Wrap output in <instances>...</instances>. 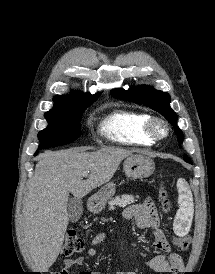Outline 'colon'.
<instances>
[{"label": "colon", "mask_w": 215, "mask_h": 274, "mask_svg": "<svg viewBox=\"0 0 215 274\" xmlns=\"http://www.w3.org/2000/svg\"><path fill=\"white\" fill-rule=\"evenodd\" d=\"M159 197L162 203V209L165 212H168L170 210V201L168 198L167 191L164 187L160 188ZM174 243L178 247L182 249H186L189 245V240L186 237H176L174 239ZM83 247H84V242L82 238L78 235L76 230L71 229L66 234L65 241L61 250L62 256L70 257L73 254L82 251ZM62 273L63 271L61 270L55 274H62Z\"/></svg>", "instance_id": "5ec220e1"}]
</instances>
